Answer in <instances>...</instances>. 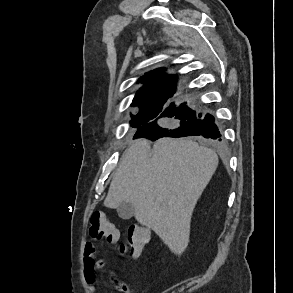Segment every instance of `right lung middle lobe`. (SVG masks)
I'll return each mask as SVG.
<instances>
[{
  "label": "right lung middle lobe",
  "mask_w": 293,
  "mask_h": 293,
  "mask_svg": "<svg viewBox=\"0 0 293 293\" xmlns=\"http://www.w3.org/2000/svg\"><path fill=\"white\" fill-rule=\"evenodd\" d=\"M156 114V110L149 111L148 107H142L139 109V113L137 115H131L132 121L130 124L132 127L138 129L139 127L154 119L157 116Z\"/></svg>",
  "instance_id": "1"
}]
</instances>
